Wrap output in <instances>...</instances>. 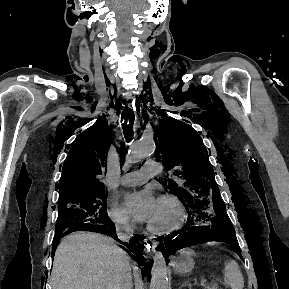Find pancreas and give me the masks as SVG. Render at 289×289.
Listing matches in <instances>:
<instances>
[{"label":"pancreas","mask_w":289,"mask_h":289,"mask_svg":"<svg viewBox=\"0 0 289 289\" xmlns=\"http://www.w3.org/2000/svg\"><path fill=\"white\" fill-rule=\"evenodd\" d=\"M206 289H221L217 284H210L206 287Z\"/></svg>","instance_id":"pancreas-1"}]
</instances>
